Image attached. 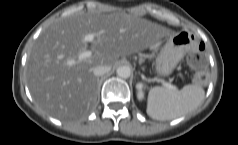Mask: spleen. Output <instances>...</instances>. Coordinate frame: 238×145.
<instances>
[{
  "label": "spleen",
  "instance_id": "spleen-1",
  "mask_svg": "<svg viewBox=\"0 0 238 145\" xmlns=\"http://www.w3.org/2000/svg\"><path fill=\"white\" fill-rule=\"evenodd\" d=\"M204 96L205 91L200 85L188 84L181 91L153 87L148 94L146 112L156 120H172L196 109Z\"/></svg>",
  "mask_w": 238,
  "mask_h": 145
}]
</instances>
